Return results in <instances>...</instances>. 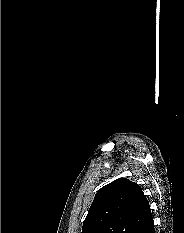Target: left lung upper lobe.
<instances>
[{
    "label": "left lung upper lobe",
    "instance_id": "left-lung-upper-lobe-1",
    "mask_svg": "<svg viewBox=\"0 0 184 233\" xmlns=\"http://www.w3.org/2000/svg\"><path fill=\"white\" fill-rule=\"evenodd\" d=\"M151 215L139 185L119 178L96 193L82 233H143Z\"/></svg>",
    "mask_w": 184,
    "mask_h": 233
}]
</instances>
